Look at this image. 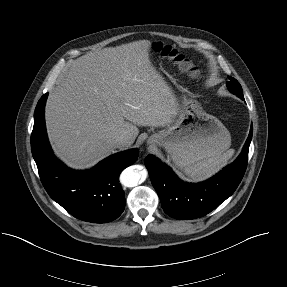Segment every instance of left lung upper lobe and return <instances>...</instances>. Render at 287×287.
<instances>
[{
	"label": "left lung upper lobe",
	"instance_id": "obj_1",
	"mask_svg": "<svg viewBox=\"0 0 287 287\" xmlns=\"http://www.w3.org/2000/svg\"><path fill=\"white\" fill-rule=\"evenodd\" d=\"M228 78L230 79V81L227 82L228 89L232 93L236 94L238 97L243 98L244 96H243V92H242V87L239 84V82L230 76Z\"/></svg>",
	"mask_w": 287,
	"mask_h": 287
}]
</instances>
